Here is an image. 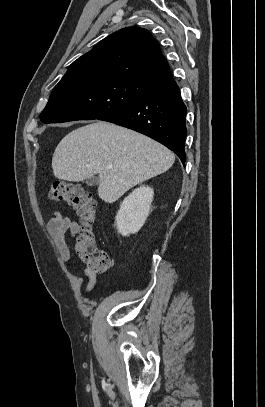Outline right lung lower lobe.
I'll use <instances>...</instances> for the list:
<instances>
[{
    "label": "right lung lower lobe",
    "mask_w": 265,
    "mask_h": 407,
    "mask_svg": "<svg viewBox=\"0 0 265 407\" xmlns=\"http://www.w3.org/2000/svg\"><path fill=\"white\" fill-rule=\"evenodd\" d=\"M99 120L140 132L175 152L185 164L186 106L171 76L156 85L136 104Z\"/></svg>",
    "instance_id": "right-lung-lower-lobe-1"
}]
</instances>
